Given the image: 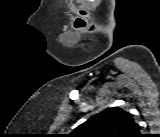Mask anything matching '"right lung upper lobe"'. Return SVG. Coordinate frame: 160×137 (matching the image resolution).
<instances>
[{
  "instance_id": "right-lung-upper-lobe-1",
  "label": "right lung upper lobe",
  "mask_w": 160,
  "mask_h": 137,
  "mask_svg": "<svg viewBox=\"0 0 160 137\" xmlns=\"http://www.w3.org/2000/svg\"><path fill=\"white\" fill-rule=\"evenodd\" d=\"M140 126L133 116L118 107L92 116L72 132L75 137H138Z\"/></svg>"
}]
</instances>
